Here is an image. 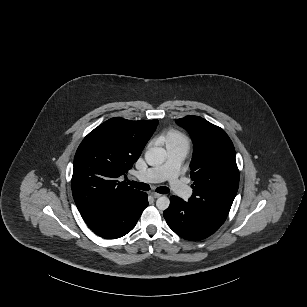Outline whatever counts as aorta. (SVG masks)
<instances>
[{
	"label": "aorta",
	"mask_w": 307,
	"mask_h": 307,
	"mask_svg": "<svg viewBox=\"0 0 307 307\" xmlns=\"http://www.w3.org/2000/svg\"><path fill=\"white\" fill-rule=\"evenodd\" d=\"M145 160L150 166H159L166 160V150L162 147H151L145 153ZM169 204L170 200L166 196H161L156 201L159 210H166Z\"/></svg>",
	"instance_id": "obj_1"
}]
</instances>
